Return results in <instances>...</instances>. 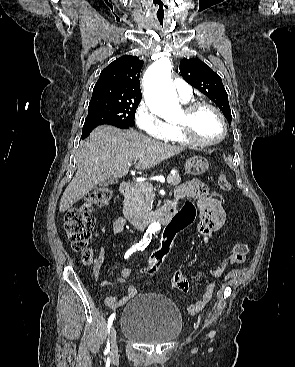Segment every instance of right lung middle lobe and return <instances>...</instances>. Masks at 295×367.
Returning <instances> with one entry per match:
<instances>
[{"mask_svg": "<svg viewBox=\"0 0 295 367\" xmlns=\"http://www.w3.org/2000/svg\"><path fill=\"white\" fill-rule=\"evenodd\" d=\"M139 102L140 100L107 94H93L88 107V115L83 125L82 136L103 124L116 127L134 126L135 112Z\"/></svg>", "mask_w": 295, "mask_h": 367, "instance_id": "right-lung-middle-lobe-1", "label": "right lung middle lobe"}]
</instances>
